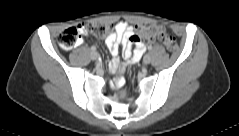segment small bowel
<instances>
[{
  "label": "small bowel",
  "mask_w": 239,
  "mask_h": 136,
  "mask_svg": "<svg viewBox=\"0 0 239 136\" xmlns=\"http://www.w3.org/2000/svg\"><path fill=\"white\" fill-rule=\"evenodd\" d=\"M133 27L126 21H119L115 31L106 38V45L113 56V63L120 62L119 53L128 63L137 62L147 52V47L141 41L134 40Z\"/></svg>",
  "instance_id": "small-bowel-1"
}]
</instances>
